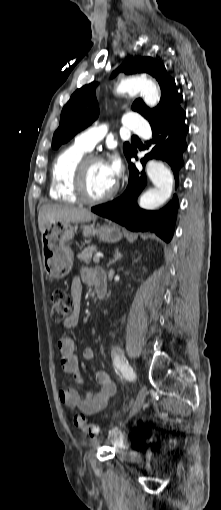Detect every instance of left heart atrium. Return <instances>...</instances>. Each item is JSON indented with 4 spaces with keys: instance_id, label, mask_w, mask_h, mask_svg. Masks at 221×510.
Masks as SVG:
<instances>
[{
    "instance_id": "left-heart-atrium-1",
    "label": "left heart atrium",
    "mask_w": 221,
    "mask_h": 510,
    "mask_svg": "<svg viewBox=\"0 0 221 510\" xmlns=\"http://www.w3.org/2000/svg\"><path fill=\"white\" fill-rule=\"evenodd\" d=\"M107 169L109 171L110 176L116 182L121 174V161L117 155H113L111 159L106 162Z\"/></svg>"
}]
</instances>
